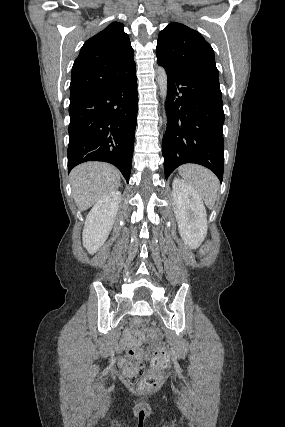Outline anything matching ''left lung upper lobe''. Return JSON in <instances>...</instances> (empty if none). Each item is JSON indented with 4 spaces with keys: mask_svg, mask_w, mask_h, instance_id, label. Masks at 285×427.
Listing matches in <instances>:
<instances>
[{
    "mask_svg": "<svg viewBox=\"0 0 285 427\" xmlns=\"http://www.w3.org/2000/svg\"><path fill=\"white\" fill-rule=\"evenodd\" d=\"M156 55L166 68L219 80L212 47L199 32L181 23H170L159 33Z\"/></svg>",
    "mask_w": 285,
    "mask_h": 427,
    "instance_id": "1",
    "label": "left lung upper lobe"
}]
</instances>
